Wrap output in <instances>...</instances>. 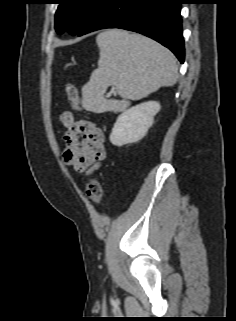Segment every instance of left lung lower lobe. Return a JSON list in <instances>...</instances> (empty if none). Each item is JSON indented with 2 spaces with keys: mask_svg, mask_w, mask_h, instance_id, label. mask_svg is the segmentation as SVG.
Masks as SVG:
<instances>
[{
  "mask_svg": "<svg viewBox=\"0 0 236 321\" xmlns=\"http://www.w3.org/2000/svg\"><path fill=\"white\" fill-rule=\"evenodd\" d=\"M184 0H105L79 36L104 29L120 28L148 36L169 48L184 62L180 9Z\"/></svg>",
  "mask_w": 236,
  "mask_h": 321,
  "instance_id": "left-lung-lower-lobe-1",
  "label": "left lung lower lobe"
}]
</instances>
